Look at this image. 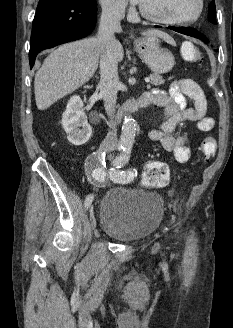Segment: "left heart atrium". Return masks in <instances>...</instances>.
<instances>
[{"label":"left heart atrium","mask_w":233,"mask_h":328,"mask_svg":"<svg viewBox=\"0 0 233 328\" xmlns=\"http://www.w3.org/2000/svg\"><path fill=\"white\" fill-rule=\"evenodd\" d=\"M131 1L135 4H140L142 2V0H131Z\"/></svg>","instance_id":"left-heart-atrium-1"}]
</instances>
